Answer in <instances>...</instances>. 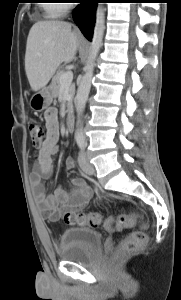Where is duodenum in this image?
<instances>
[{
  "label": "duodenum",
  "instance_id": "obj_1",
  "mask_svg": "<svg viewBox=\"0 0 181 300\" xmlns=\"http://www.w3.org/2000/svg\"><path fill=\"white\" fill-rule=\"evenodd\" d=\"M75 127V116L71 110L66 115V128L69 132H72Z\"/></svg>",
  "mask_w": 181,
  "mask_h": 300
}]
</instances>
